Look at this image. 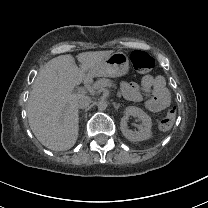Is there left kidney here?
I'll list each match as a JSON object with an SVG mask.
<instances>
[{
  "instance_id": "5707ae66",
  "label": "left kidney",
  "mask_w": 208,
  "mask_h": 208,
  "mask_svg": "<svg viewBox=\"0 0 208 208\" xmlns=\"http://www.w3.org/2000/svg\"><path fill=\"white\" fill-rule=\"evenodd\" d=\"M129 116L138 117L142 121L138 131L128 129L127 121ZM151 127V118L142 109L134 106L126 107L125 115L120 122V129L128 140L136 142L149 139L152 135Z\"/></svg>"
}]
</instances>
